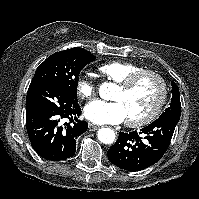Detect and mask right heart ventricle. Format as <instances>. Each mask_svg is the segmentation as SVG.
I'll return each instance as SVG.
<instances>
[{"label":"right heart ventricle","instance_id":"right-heart-ventricle-1","mask_svg":"<svg viewBox=\"0 0 199 199\" xmlns=\"http://www.w3.org/2000/svg\"><path fill=\"white\" fill-rule=\"evenodd\" d=\"M142 69L141 66L126 61H111L99 67L100 72L116 83L122 82L131 74Z\"/></svg>","mask_w":199,"mask_h":199}]
</instances>
